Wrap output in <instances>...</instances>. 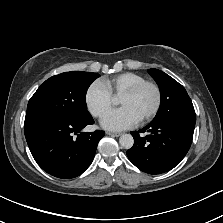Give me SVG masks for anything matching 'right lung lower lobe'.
<instances>
[{
	"label": "right lung lower lobe",
	"instance_id": "obj_1",
	"mask_svg": "<svg viewBox=\"0 0 223 223\" xmlns=\"http://www.w3.org/2000/svg\"><path fill=\"white\" fill-rule=\"evenodd\" d=\"M90 119L45 120L24 125L29 149L38 165L57 178L69 179L82 174L91 164L104 131L81 132L93 124ZM77 135V137H74Z\"/></svg>",
	"mask_w": 223,
	"mask_h": 223
}]
</instances>
